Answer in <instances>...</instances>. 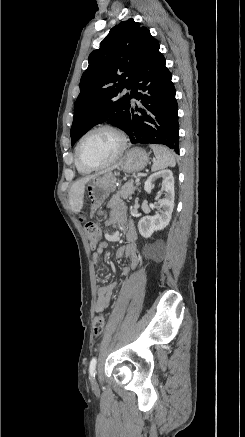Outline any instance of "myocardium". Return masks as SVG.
<instances>
[{
  "mask_svg": "<svg viewBox=\"0 0 245 437\" xmlns=\"http://www.w3.org/2000/svg\"><path fill=\"white\" fill-rule=\"evenodd\" d=\"M100 130H107V131H111L113 132L120 141V147L119 150L117 152V154L108 162L103 163V164H90L87 163L86 161L83 160V158L81 157L80 154V147L82 142L84 141V139L96 132V131H100ZM128 148V139L127 136L125 135V133L118 127L111 125V124H99L96 125L90 129H88L87 131H85L81 137L79 138V140L77 141L76 147H75V156L77 161L84 167L91 169V170H99V169H104V168H108L114 164H116L118 161H120L122 159V157L124 156L126 150Z\"/></svg>",
  "mask_w": 245,
  "mask_h": 437,
  "instance_id": "obj_1",
  "label": "myocardium"
}]
</instances>
